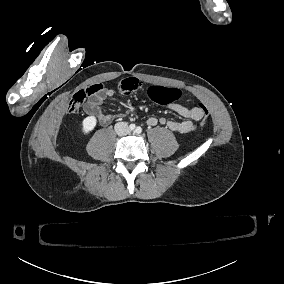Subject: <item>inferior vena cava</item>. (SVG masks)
I'll list each match as a JSON object with an SVG mask.
<instances>
[{"label": "inferior vena cava", "instance_id": "1", "mask_svg": "<svg viewBox=\"0 0 284 284\" xmlns=\"http://www.w3.org/2000/svg\"><path fill=\"white\" fill-rule=\"evenodd\" d=\"M115 131L117 135L124 136L130 133V128L126 122H118L115 124Z\"/></svg>", "mask_w": 284, "mask_h": 284}]
</instances>
